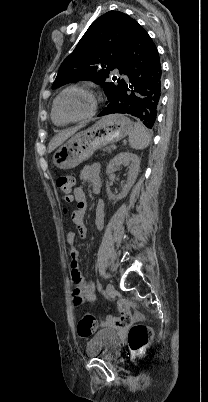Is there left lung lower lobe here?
<instances>
[{
    "mask_svg": "<svg viewBox=\"0 0 208 402\" xmlns=\"http://www.w3.org/2000/svg\"><path fill=\"white\" fill-rule=\"evenodd\" d=\"M123 74L107 107L98 115L120 113L139 118L148 128L156 121L162 92V69L156 45L135 22L125 49Z\"/></svg>",
    "mask_w": 208,
    "mask_h": 402,
    "instance_id": "obj_1",
    "label": "left lung lower lobe"
}]
</instances>
